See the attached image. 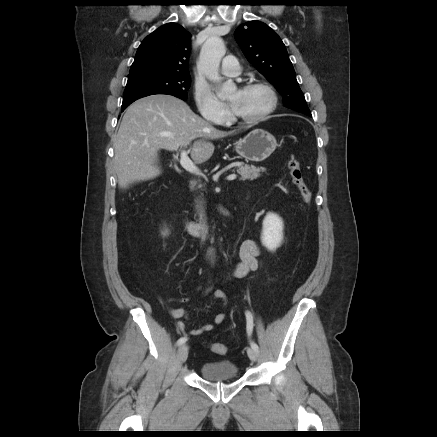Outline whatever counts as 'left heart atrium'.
<instances>
[{
  "label": "left heart atrium",
  "mask_w": 437,
  "mask_h": 437,
  "mask_svg": "<svg viewBox=\"0 0 437 437\" xmlns=\"http://www.w3.org/2000/svg\"><path fill=\"white\" fill-rule=\"evenodd\" d=\"M232 108H234V103H231Z\"/></svg>",
  "instance_id": "1"
}]
</instances>
